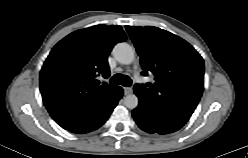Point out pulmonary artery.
I'll return each mask as SVG.
<instances>
[{
    "label": "pulmonary artery",
    "mask_w": 248,
    "mask_h": 158,
    "mask_svg": "<svg viewBox=\"0 0 248 158\" xmlns=\"http://www.w3.org/2000/svg\"><path fill=\"white\" fill-rule=\"evenodd\" d=\"M135 78L137 79V81L142 82V77L139 75V73L135 72Z\"/></svg>",
    "instance_id": "e3ab8cb5"
}]
</instances>
